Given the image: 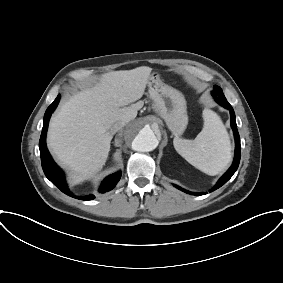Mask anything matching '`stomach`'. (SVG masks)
<instances>
[{"label": "stomach", "instance_id": "obj_1", "mask_svg": "<svg viewBox=\"0 0 283 283\" xmlns=\"http://www.w3.org/2000/svg\"><path fill=\"white\" fill-rule=\"evenodd\" d=\"M148 86L154 111L164 119L173 134L180 135L188 124L187 106L183 94L162 82L159 75H151Z\"/></svg>", "mask_w": 283, "mask_h": 283}]
</instances>
